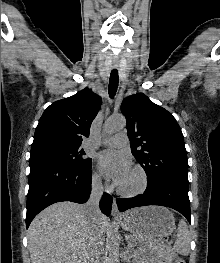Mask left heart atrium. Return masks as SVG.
Listing matches in <instances>:
<instances>
[{"label": "left heart atrium", "mask_w": 220, "mask_h": 263, "mask_svg": "<svg viewBox=\"0 0 220 263\" xmlns=\"http://www.w3.org/2000/svg\"><path fill=\"white\" fill-rule=\"evenodd\" d=\"M98 162L102 173L116 185H119L131 170L129 158L114 150L100 153Z\"/></svg>", "instance_id": "left-heart-atrium-1"}]
</instances>
